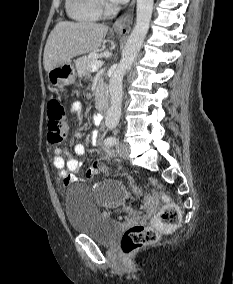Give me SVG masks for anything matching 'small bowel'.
Here are the masks:
<instances>
[{
	"instance_id": "obj_1",
	"label": "small bowel",
	"mask_w": 233,
	"mask_h": 284,
	"mask_svg": "<svg viewBox=\"0 0 233 284\" xmlns=\"http://www.w3.org/2000/svg\"><path fill=\"white\" fill-rule=\"evenodd\" d=\"M80 111L79 103H74L72 106V113L75 118L78 117ZM102 120L101 115L95 116V122L100 123ZM74 137L77 140H81L83 138L82 133L75 132ZM74 152L78 156H82L86 153V147L82 143H77L74 146ZM53 164L55 168L59 171V175L63 180L65 185H69L72 182L76 181L75 174L79 171L81 167V163L69 156L67 151L61 150L60 148H55L53 151ZM104 173V168L100 162H94L92 166L87 171V178L92 179L98 177Z\"/></svg>"
}]
</instances>
